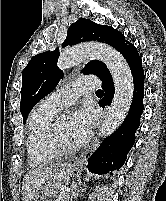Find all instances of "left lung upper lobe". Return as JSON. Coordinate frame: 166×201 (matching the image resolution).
Listing matches in <instances>:
<instances>
[{"instance_id":"left-lung-upper-lobe-1","label":"left lung upper lobe","mask_w":166,"mask_h":201,"mask_svg":"<svg viewBox=\"0 0 166 201\" xmlns=\"http://www.w3.org/2000/svg\"><path fill=\"white\" fill-rule=\"evenodd\" d=\"M84 41L104 42L114 47L121 54L130 44L116 29L99 25L91 20L80 18L69 27L67 37L62 47L75 45ZM59 57L58 48L35 55L22 72V88L20 112L25 123L29 112L39 100L50 93L63 77L56 62ZM84 75L94 74L104 78L110 74L106 65L98 60L88 62L82 70Z\"/></svg>"}]
</instances>
